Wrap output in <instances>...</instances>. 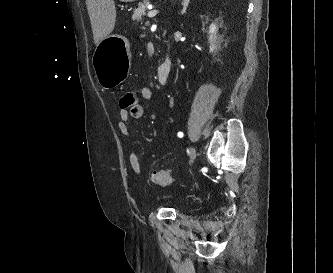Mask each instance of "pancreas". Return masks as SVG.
Masks as SVG:
<instances>
[{"label": "pancreas", "mask_w": 333, "mask_h": 273, "mask_svg": "<svg viewBox=\"0 0 333 273\" xmlns=\"http://www.w3.org/2000/svg\"><path fill=\"white\" fill-rule=\"evenodd\" d=\"M148 1H144L143 3H140L138 7L133 11L132 19L133 21L139 22L142 20V18L145 16V11L147 10Z\"/></svg>", "instance_id": "obj_1"}]
</instances>
